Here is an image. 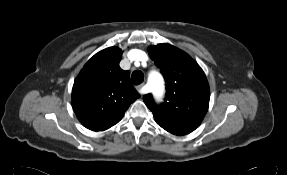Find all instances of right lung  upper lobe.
Here are the masks:
<instances>
[{"instance_id":"1","label":"right lung upper lobe","mask_w":287,"mask_h":175,"mask_svg":"<svg viewBox=\"0 0 287 175\" xmlns=\"http://www.w3.org/2000/svg\"><path fill=\"white\" fill-rule=\"evenodd\" d=\"M122 53L117 47L98 52L74 82V112L92 131H104L118 123L130 104L140 97L130 81V72L119 66Z\"/></svg>"}]
</instances>
